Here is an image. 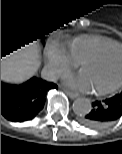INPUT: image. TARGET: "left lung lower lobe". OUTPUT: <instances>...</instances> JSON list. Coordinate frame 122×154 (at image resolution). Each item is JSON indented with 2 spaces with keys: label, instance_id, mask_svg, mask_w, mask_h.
<instances>
[{
  "label": "left lung lower lobe",
  "instance_id": "obj_1",
  "mask_svg": "<svg viewBox=\"0 0 122 154\" xmlns=\"http://www.w3.org/2000/svg\"><path fill=\"white\" fill-rule=\"evenodd\" d=\"M93 109L80 117V122L92 129H103L122 116V92L116 96L92 103Z\"/></svg>",
  "mask_w": 122,
  "mask_h": 154
}]
</instances>
